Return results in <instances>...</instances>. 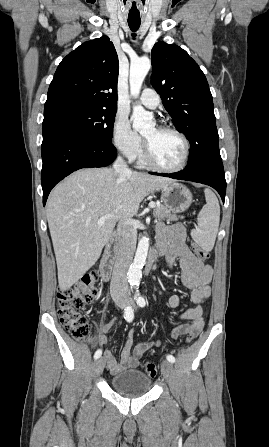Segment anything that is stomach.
<instances>
[{
  "label": "stomach",
  "mask_w": 269,
  "mask_h": 447,
  "mask_svg": "<svg viewBox=\"0 0 269 447\" xmlns=\"http://www.w3.org/2000/svg\"><path fill=\"white\" fill-rule=\"evenodd\" d=\"M161 200L171 212L174 214H181L188 210L192 204V194L188 188L181 186V184H169L165 188H161Z\"/></svg>",
  "instance_id": "obj_1"
}]
</instances>
